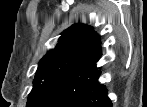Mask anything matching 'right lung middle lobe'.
<instances>
[{"mask_svg":"<svg viewBox=\"0 0 147 107\" xmlns=\"http://www.w3.org/2000/svg\"><path fill=\"white\" fill-rule=\"evenodd\" d=\"M96 69L35 76L27 107H67L99 75Z\"/></svg>","mask_w":147,"mask_h":107,"instance_id":"obj_1","label":"right lung middle lobe"}]
</instances>
